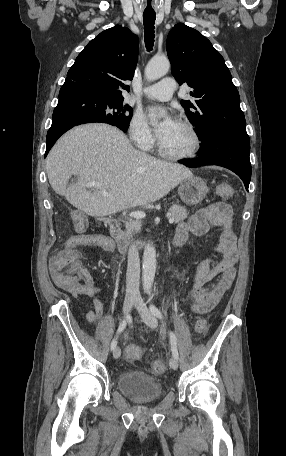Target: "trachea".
I'll return each instance as SVG.
<instances>
[{
	"label": "trachea",
	"mask_w": 286,
	"mask_h": 456,
	"mask_svg": "<svg viewBox=\"0 0 286 456\" xmlns=\"http://www.w3.org/2000/svg\"><path fill=\"white\" fill-rule=\"evenodd\" d=\"M155 19L156 14L154 12L143 13V24H144V41L148 51L152 50L155 38Z\"/></svg>",
	"instance_id": "trachea-1"
}]
</instances>
